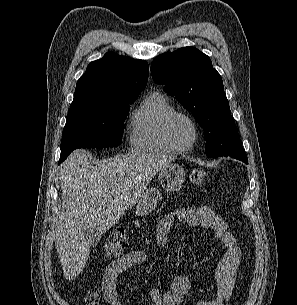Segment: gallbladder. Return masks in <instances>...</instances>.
Wrapping results in <instances>:
<instances>
[{"label":"gallbladder","mask_w":297,"mask_h":305,"mask_svg":"<svg viewBox=\"0 0 297 305\" xmlns=\"http://www.w3.org/2000/svg\"><path fill=\"white\" fill-rule=\"evenodd\" d=\"M102 237V233L96 227H88L85 231V239L90 247L96 246Z\"/></svg>","instance_id":"obj_1"}]
</instances>
